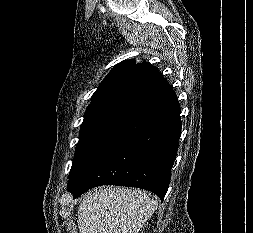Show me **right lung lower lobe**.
<instances>
[{
    "label": "right lung lower lobe",
    "mask_w": 253,
    "mask_h": 233,
    "mask_svg": "<svg viewBox=\"0 0 253 233\" xmlns=\"http://www.w3.org/2000/svg\"><path fill=\"white\" fill-rule=\"evenodd\" d=\"M181 133L180 106L169 83L137 101L69 176L78 198L100 185L142 188L163 200Z\"/></svg>",
    "instance_id": "right-lung-lower-lobe-1"
}]
</instances>
